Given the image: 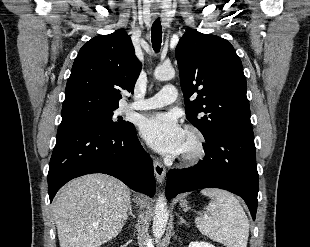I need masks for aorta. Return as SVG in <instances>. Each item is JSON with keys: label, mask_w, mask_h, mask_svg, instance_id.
<instances>
[{"label": "aorta", "mask_w": 310, "mask_h": 247, "mask_svg": "<svg viewBox=\"0 0 310 247\" xmlns=\"http://www.w3.org/2000/svg\"><path fill=\"white\" fill-rule=\"evenodd\" d=\"M175 70L172 66H159L154 71V77L160 81H166L174 78ZM169 218V212L167 208L166 198L164 194L159 195L153 218V234L156 239H160L166 229Z\"/></svg>", "instance_id": "1"}]
</instances>
